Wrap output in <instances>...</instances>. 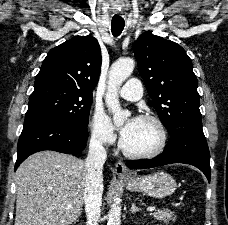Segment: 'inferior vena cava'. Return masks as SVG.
<instances>
[{"instance_id":"inferior-vena-cava-1","label":"inferior vena cava","mask_w":228,"mask_h":225,"mask_svg":"<svg viewBox=\"0 0 228 225\" xmlns=\"http://www.w3.org/2000/svg\"><path fill=\"white\" fill-rule=\"evenodd\" d=\"M106 157V149H104L102 141L93 135L85 161L84 205L87 225H98L100 219L103 195L102 173Z\"/></svg>"}]
</instances>
